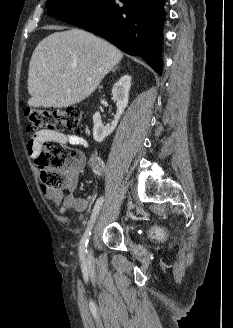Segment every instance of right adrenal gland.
<instances>
[{"label": "right adrenal gland", "mask_w": 233, "mask_h": 328, "mask_svg": "<svg viewBox=\"0 0 233 328\" xmlns=\"http://www.w3.org/2000/svg\"><path fill=\"white\" fill-rule=\"evenodd\" d=\"M116 69H118V67L114 68L112 71L115 72Z\"/></svg>", "instance_id": "obj_1"}]
</instances>
